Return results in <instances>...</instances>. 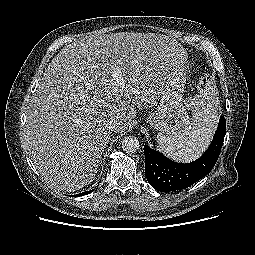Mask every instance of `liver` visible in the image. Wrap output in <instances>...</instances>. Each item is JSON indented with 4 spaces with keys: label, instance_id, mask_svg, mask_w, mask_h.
I'll return each mask as SVG.
<instances>
[{
    "label": "liver",
    "instance_id": "1",
    "mask_svg": "<svg viewBox=\"0 0 255 255\" xmlns=\"http://www.w3.org/2000/svg\"><path fill=\"white\" fill-rule=\"evenodd\" d=\"M187 58L176 39L154 33L93 35L65 46L27 112L26 145L44 181L67 192L89 185L111 137L109 121L118 120L116 133L125 131L137 109L158 103Z\"/></svg>",
    "mask_w": 255,
    "mask_h": 255
}]
</instances>
